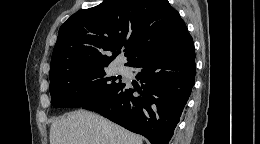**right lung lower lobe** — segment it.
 <instances>
[{"label":"right lung lower lobe","instance_id":"1","mask_svg":"<svg viewBox=\"0 0 260 144\" xmlns=\"http://www.w3.org/2000/svg\"><path fill=\"white\" fill-rule=\"evenodd\" d=\"M128 66L140 70L136 79L141 86L123 82L106 97L83 108L145 136L151 144H168L195 84L191 35L143 55Z\"/></svg>","mask_w":260,"mask_h":144}]
</instances>
